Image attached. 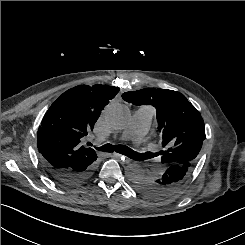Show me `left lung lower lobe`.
Returning <instances> with one entry per match:
<instances>
[{
    "label": "left lung lower lobe",
    "mask_w": 245,
    "mask_h": 245,
    "mask_svg": "<svg viewBox=\"0 0 245 245\" xmlns=\"http://www.w3.org/2000/svg\"><path fill=\"white\" fill-rule=\"evenodd\" d=\"M193 164L194 162L187 160L166 163L159 174H145L134 181V187L150 198H165L181 188L189 177Z\"/></svg>",
    "instance_id": "1"
}]
</instances>
